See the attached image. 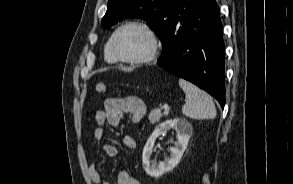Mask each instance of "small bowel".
<instances>
[{
    "label": "small bowel",
    "instance_id": "c3829d8e",
    "mask_svg": "<svg viewBox=\"0 0 293 184\" xmlns=\"http://www.w3.org/2000/svg\"><path fill=\"white\" fill-rule=\"evenodd\" d=\"M146 113L144 102L136 97L125 98H108L104 102V109L99 110L95 114L96 128L93 132V142H101L105 135L106 126L116 127L120 124L123 116L128 114L132 123H139ZM123 144L129 148L136 147V141L130 135L123 137ZM104 153L109 157L117 155V148L107 142L102 144ZM89 176L94 184H111L104 180L95 163H91L88 167ZM115 184H141L139 179L134 177L129 171L122 170L117 176Z\"/></svg>",
    "mask_w": 293,
    "mask_h": 184
}]
</instances>
